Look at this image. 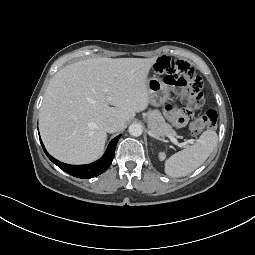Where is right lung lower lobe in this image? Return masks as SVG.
Listing matches in <instances>:
<instances>
[{"mask_svg":"<svg viewBox=\"0 0 255 255\" xmlns=\"http://www.w3.org/2000/svg\"><path fill=\"white\" fill-rule=\"evenodd\" d=\"M120 136L121 135L115 137L110 142L105 154L98 161L93 162L91 164H87V165H69V164L62 163L56 160L55 158H53L52 156H50L48 152L46 151L41 139H40V142L46 155L60 169H62L63 171L67 172L68 174L74 177L86 179V178H92V177L98 176L108 169V167L111 165L112 160L114 158L115 147Z\"/></svg>","mask_w":255,"mask_h":255,"instance_id":"obj_1","label":"right lung lower lobe"}]
</instances>
